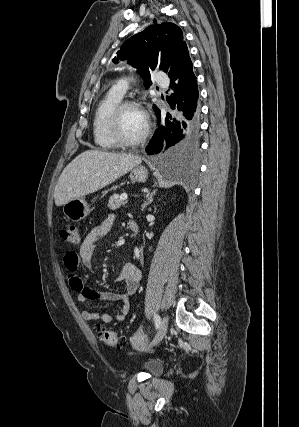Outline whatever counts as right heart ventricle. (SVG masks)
I'll use <instances>...</instances> for the list:
<instances>
[{"label":"right heart ventricle","instance_id":"1","mask_svg":"<svg viewBox=\"0 0 299 427\" xmlns=\"http://www.w3.org/2000/svg\"><path fill=\"white\" fill-rule=\"evenodd\" d=\"M122 98V95L110 89L96 105L92 121V135L96 147L101 150L109 151L117 148L107 132V118Z\"/></svg>","mask_w":299,"mask_h":427}]
</instances>
